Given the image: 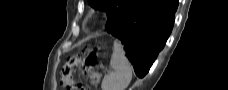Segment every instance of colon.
<instances>
[{
    "label": "colon",
    "mask_w": 228,
    "mask_h": 90,
    "mask_svg": "<svg viewBox=\"0 0 228 90\" xmlns=\"http://www.w3.org/2000/svg\"><path fill=\"white\" fill-rule=\"evenodd\" d=\"M96 51L92 50L85 53H78L71 57L63 66L61 71L62 83L66 90H84L83 86L74 81L72 78L73 69L77 66H84L88 72L92 67L96 66Z\"/></svg>",
    "instance_id": "1"
}]
</instances>
